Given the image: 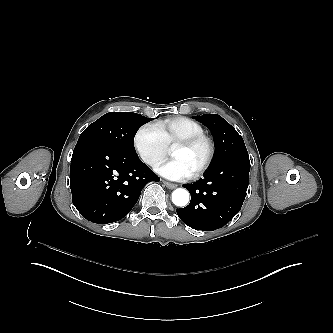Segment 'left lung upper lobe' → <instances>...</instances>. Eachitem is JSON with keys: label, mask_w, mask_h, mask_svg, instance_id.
<instances>
[{"label": "left lung upper lobe", "mask_w": 333, "mask_h": 333, "mask_svg": "<svg viewBox=\"0 0 333 333\" xmlns=\"http://www.w3.org/2000/svg\"><path fill=\"white\" fill-rule=\"evenodd\" d=\"M193 118L208 127L215 140L216 155L212 167L233 156L248 154L243 138L221 116L204 114Z\"/></svg>", "instance_id": "5c2ea615"}]
</instances>
